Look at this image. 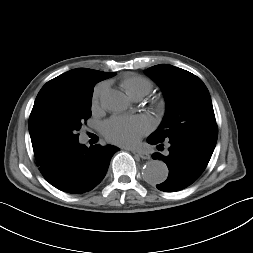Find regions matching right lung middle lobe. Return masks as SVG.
Returning <instances> with one entry per match:
<instances>
[{
	"mask_svg": "<svg viewBox=\"0 0 253 253\" xmlns=\"http://www.w3.org/2000/svg\"><path fill=\"white\" fill-rule=\"evenodd\" d=\"M93 88L51 89L36 98L29 132L52 149L62 151L78 142L82 123L91 116Z\"/></svg>",
	"mask_w": 253,
	"mask_h": 253,
	"instance_id": "obj_1",
	"label": "right lung middle lobe"
}]
</instances>
